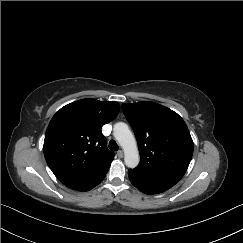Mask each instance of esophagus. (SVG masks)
I'll return each mask as SVG.
<instances>
[{"instance_id": "obj_1", "label": "esophagus", "mask_w": 243, "mask_h": 243, "mask_svg": "<svg viewBox=\"0 0 243 243\" xmlns=\"http://www.w3.org/2000/svg\"><path fill=\"white\" fill-rule=\"evenodd\" d=\"M117 156H118L119 158H123V156H124L123 151H122V150H119V151L117 152Z\"/></svg>"}]
</instances>
